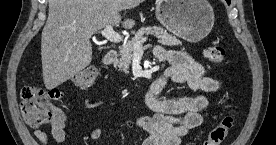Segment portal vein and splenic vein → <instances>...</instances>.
Here are the masks:
<instances>
[{
    "label": "portal vein and splenic vein",
    "mask_w": 276,
    "mask_h": 145,
    "mask_svg": "<svg viewBox=\"0 0 276 145\" xmlns=\"http://www.w3.org/2000/svg\"><path fill=\"white\" fill-rule=\"evenodd\" d=\"M101 35L113 43H119L123 39L119 33L113 30L112 25L105 26V28L101 30ZM146 40L147 38H142L140 41L136 42L133 45L134 51L142 50L143 43L146 42Z\"/></svg>",
    "instance_id": "portal-vein-and-splenic-vein-1"
}]
</instances>
